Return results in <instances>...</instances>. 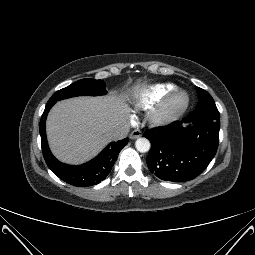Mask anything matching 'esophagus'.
Instances as JSON below:
<instances>
[{
    "label": "esophagus",
    "instance_id": "obj_1",
    "mask_svg": "<svg viewBox=\"0 0 255 255\" xmlns=\"http://www.w3.org/2000/svg\"><path fill=\"white\" fill-rule=\"evenodd\" d=\"M141 136H142V131L141 130H134L129 135L130 139H137Z\"/></svg>",
    "mask_w": 255,
    "mask_h": 255
}]
</instances>
